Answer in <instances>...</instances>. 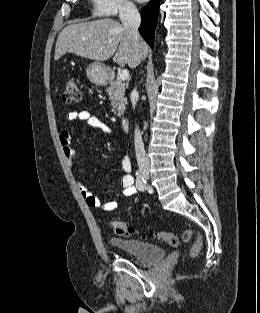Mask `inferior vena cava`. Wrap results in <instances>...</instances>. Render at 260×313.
I'll list each match as a JSON object with an SVG mask.
<instances>
[{"label":"inferior vena cava","mask_w":260,"mask_h":313,"mask_svg":"<svg viewBox=\"0 0 260 313\" xmlns=\"http://www.w3.org/2000/svg\"><path fill=\"white\" fill-rule=\"evenodd\" d=\"M119 17L122 24L130 28V31L135 41L138 42L139 41L138 28L140 26L141 17L135 5L127 1L123 2L119 10ZM137 98L138 93L136 89H134L131 93L133 108H135L136 106ZM134 145L138 166L148 168L150 166V162L144 149V143L142 140L141 132L137 127L135 129Z\"/></svg>","instance_id":"obj_1"}]
</instances>
